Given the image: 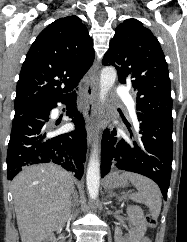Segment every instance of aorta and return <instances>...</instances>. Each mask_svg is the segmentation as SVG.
<instances>
[{
  "label": "aorta",
  "instance_id": "762f6f07",
  "mask_svg": "<svg viewBox=\"0 0 187 242\" xmlns=\"http://www.w3.org/2000/svg\"><path fill=\"white\" fill-rule=\"evenodd\" d=\"M117 77V72L114 67L108 66L103 68L100 75L99 98L101 103L105 102L106 96ZM86 184L88 193L91 199H96L99 193L100 186V161L98 154V144L94 145L91 151L90 159L86 174Z\"/></svg>",
  "mask_w": 187,
  "mask_h": 242
}]
</instances>
